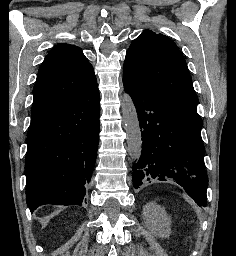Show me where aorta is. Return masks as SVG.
Instances as JSON below:
<instances>
[{"label": "aorta", "instance_id": "aorta-1", "mask_svg": "<svg viewBox=\"0 0 236 256\" xmlns=\"http://www.w3.org/2000/svg\"><path fill=\"white\" fill-rule=\"evenodd\" d=\"M121 112L127 135V150L130 158L137 160L142 152V136L136 108L131 96L127 93L121 97Z\"/></svg>", "mask_w": 236, "mask_h": 256}]
</instances>
